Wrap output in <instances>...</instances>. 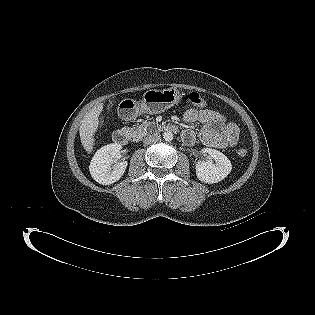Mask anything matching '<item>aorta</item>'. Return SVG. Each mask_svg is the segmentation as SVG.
<instances>
[{"mask_svg": "<svg viewBox=\"0 0 315 315\" xmlns=\"http://www.w3.org/2000/svg\"><path fill=\"white\" fill-rule=\"evenodd\" d=\"M163 138L165 141H172L173 140V133L170 131L164 132Z\"/></svg>", "mask_w": 315, "mask_h": 315, "instance_id": "aorta-1", "label": "aorta"}]
</instances>
